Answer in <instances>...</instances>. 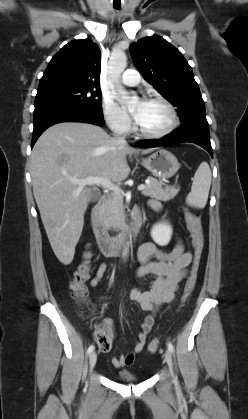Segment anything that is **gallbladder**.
<instances>
[{"label": "gallbladder", "mask_w": 248, "mask_h": 419, "mask_svg": "<svg viewBox=\"0 0 248 419\" xmlns=\"http://www.w3.org/2000/svg\"><path fill=\"white\" fill-rule=\"evenodd\" d=\"M100 195L97 192H92L91 201L96 202L99 199Z\"/></svg>", "instance_id": "1"}]
</instances>
